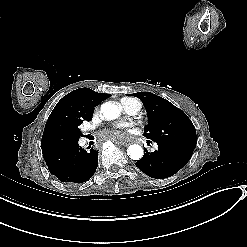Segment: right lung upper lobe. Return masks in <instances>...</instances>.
<instances>
[{
	"label": "right lung upper lobe",
	"instance_id": "cb5924a9",
	"mask_svg": "<svg viewBox=\"0 0 247 247\" xmlns=\"http://www.w3.org/2000/svg\"><path fill=\"white\" fill-rule=\"evenodd\" d=\"M109 96L89 88H79L65 95L48 117L41 140L42 150L56 134L79 127L84 120L90 121L94 107Z\"/></svg>",
	"mask_w": 247,
	"mask_h": 247
}]
</instances>
